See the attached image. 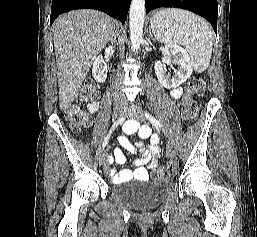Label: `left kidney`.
I'll list each match as a JSON object with an SVG mask.
<instances>
[{
  "label": "left kidney",
  "mask_w": 257,
  "mask_h": 237,
  "mask_svg": "<svg viewBox=\"0 0 257 237\" xmlns=\"http://www.w3.org/2000/svg\"><path fill=\"white\" fill-rule=\"evenodd\" d=\"M164 50L166 58L155 63V74L162 86L174 89L191 76L193 68L188 53L182 47L167 44ZM166 65H176L177 68H173V74H170L166 71Z\"/></svg>",
  "instance_id": "1"
}]
</instances>
